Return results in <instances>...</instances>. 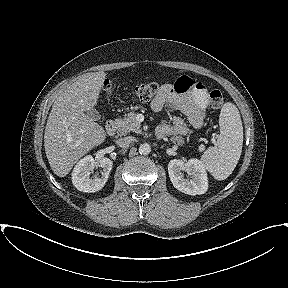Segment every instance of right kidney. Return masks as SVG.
<instances>
[{
    "label": "right kidney",
    "instance_id": "ca27d5eb",
    "mask_svg": "<svg viewBox=\"0 0 288 288\" xmlns=\"http://www.w3.org/2000/svg\"><path fill=\"white\" fill-rule=\"evenodd\" d=\"M113 162L109 158H101L95 162L91 155L82 158L74 167L72 172L73 185L82 192H96L101 190L108 180L112 170ZM95 167L102 168L101 176L90 177Z\"/></svg>",
    "mask_w": 288,
    "mask_h": 288
}]
</instances>
